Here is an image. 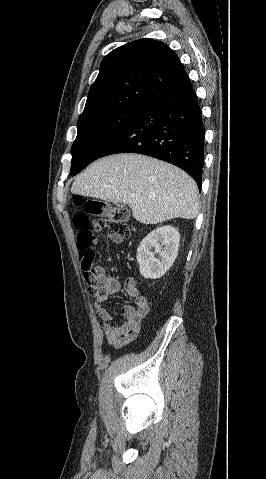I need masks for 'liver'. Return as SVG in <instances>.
Here are the masks:
<instances>
[{
    "label": "liver",
    "instance_id": "liver-1",
    "mask_svg": "<svg viewBox=\"0 0 266 479\" xmlns=\"http://www.w3.org/2000/svg\"><path fill=\"white\" fill-rule=\"evenodd\" d=\"M71 192L126 203L143 224L194 219L199 213L195 181L178 167L145 155L101 158L75 179Z\"/></svg>",
    "mask_w": 266,
    "mask_h": 479
}]
</instances>
